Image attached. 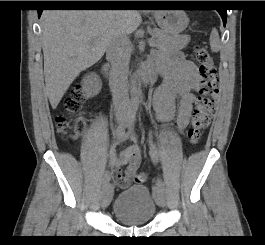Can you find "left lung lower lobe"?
<instances>
[{"label": "left lung lower lobe", "instance_id": "1", "mask_svg": "<svg viewBox=\"0 0 265 245\" xmlns=\"http://www.w3.org/2000/svg\"><path fill=\"white\" fill-rule=\"evenodd\" d=\"M152 5L154 6H177L181 4V1H152ZM222 17L223 24L224 26L226 25V20H227V10L221 9L217 10Z\"/></svg>", "mask_w": 265, "mask_h": 245}]
</instances>
